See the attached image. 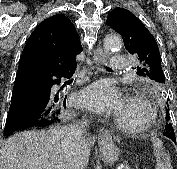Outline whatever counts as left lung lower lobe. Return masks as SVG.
Here are the masks:
<instances>
[{
	"mask_svg": "<svg viewBox=\"0 0 177 169\" xmlns=\"http://www.w3.org/2000/svg\"><path fill=\"white\" fill-rule=\"evenodd\" d=\"M163 135H165L166 137L170 138L174 143H176V137L175 135L171 134V133H166L165 131L163 132Z\"/></svg>",
	"mask_w": 177,
	"mask_h": 169,
	"instance_id": "0a47b994",
	"label": "left lung lower lobe"
}]
</instances>
